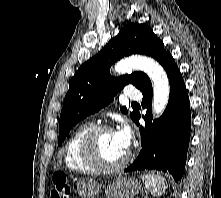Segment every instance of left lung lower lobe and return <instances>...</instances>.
<instances>
[{"label":"left lung lower lobe","instance_id":"obj_1","mask_svg":"<svg viewBox=\"0 0 221 198\" xmlns=\"http://www.w3.org/2000/svg\"><path fill=\"white\" fill-rule=\"evenodd\" d=\"M170 82V95L162 116L153 120L151 114L152 84L142 89L145 128L140 127L142 149L125 172L156 169L170 173L177 182L184 173L190 139L191 114L188 94L180 71L171 54L162 63ZM140 114L134 122L139 125Z\"/></svg>","mask_w":221,"mask_h":198}]
</instances>
